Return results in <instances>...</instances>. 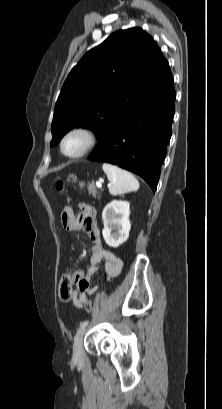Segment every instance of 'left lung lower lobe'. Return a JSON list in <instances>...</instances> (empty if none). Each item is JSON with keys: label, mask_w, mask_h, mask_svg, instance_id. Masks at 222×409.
I'll return each instance as SVG.
<instances>
[{"label": "left lung lower lobe", "mask_w": 222, "mask_h": 409, "mask_svg": "<svg viewBox=\"0 0 222 409\" xmlns=\"http://www.w3.org/2000/svg\"><path fill=\"white\" fill-rule=\"evenodd\" d=\"M175 97L170 73L120 111L99 137L89 160L129 170L155 192L171 137Z\"/></svg>", "instance_id": "1"}]
</instances>
